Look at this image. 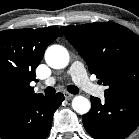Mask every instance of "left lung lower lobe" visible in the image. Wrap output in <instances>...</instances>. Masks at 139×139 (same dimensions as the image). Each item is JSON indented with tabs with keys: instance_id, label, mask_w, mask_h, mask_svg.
Returning <instances> with one entry per match:
<instances>
[{
	"instance_id": "0a47b994",
	"label": "left lung lower lobe",
	"mask_w": 139,
	"mask_h": 139,
	"mask_svg": "<svg viewBox=\"0 0 139 139\" xmlns=\"http://www.w3.org/2000/svg\"><path fill=\"white\" fill-rule=\"evenodd\" d=\"M91 110L82 118L86 131L95 139H124L139 125V90L111 98H90Z\"/></svg>"
}]
</instances>
